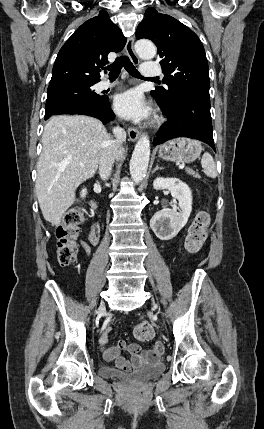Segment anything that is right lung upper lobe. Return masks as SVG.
Wrapping results in <instances>:
<instances>
[{
    "instance_id": "1",
    "label": "right lung upper lobe",
    "mask_w": 264,
    "mask_h": 429,
    "mask_svg": "<svg viewBox=\"0 0 264 429\" xmlns=\"http://www.w3.org/2000/svg\"><path fill=\"white\" fill-rule=\"evenodd\" d=\"M126 38L105 10L84 22L66 41L55 60L48 88L67 84H95L110 52L121 51Z\"/></svg>"
}]
</instances>
